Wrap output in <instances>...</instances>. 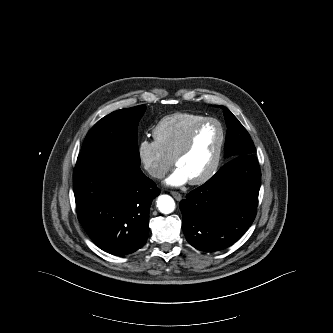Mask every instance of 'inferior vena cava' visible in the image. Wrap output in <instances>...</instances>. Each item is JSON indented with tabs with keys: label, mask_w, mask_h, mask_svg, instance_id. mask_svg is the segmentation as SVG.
I'll list each match as a JSON object with an SVG mask.
<instances>
[{
	"label": "inferior vena cava",
	"mask_w": 333,
	"mask_h": 333,
	"mask_svg": "<svg viewBox=\"0 0 333 333\" xmlns=\"http://www.w3.org/2000/svg\"><path fill=\"white\" fill-rule=\"evenodd\" d=\"M148 172L154 178L162 179L165 177V171L159 168H151Z\"/></svg>",
	"instance_id": "inferior-vena-cava-1"
}]
</instances>
